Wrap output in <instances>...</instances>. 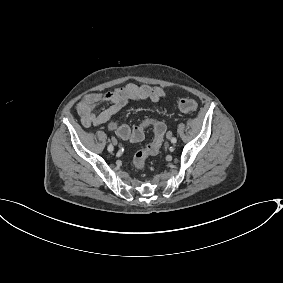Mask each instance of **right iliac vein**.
I'll list each match as a JSON object with an SVG mask.
<instances>
[{"mask_svg": "<svg viewBox=\"0 0 283 283\" xmlns=\"http://www.w3.org/2000/svg\"><path fill=\"white\" fill-rule=\"evenodd\" d=\"M113 144H114V145H117V144H118V141H117L115 138L113 139Z\"/></svg>", "mask_w": 283, "mask_h": 283, "instance_id": "right-iliac-vein-1", "label": "right iliac vein"}]
</instances>
